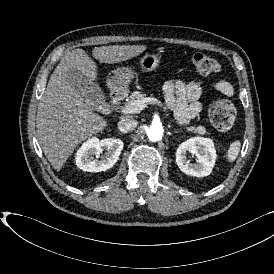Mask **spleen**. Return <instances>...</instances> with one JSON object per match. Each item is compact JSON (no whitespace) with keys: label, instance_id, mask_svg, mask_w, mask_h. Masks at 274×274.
<instances>
[{"label":"spleen","instance_id":"1","mask_svg":"<svg viewBox=\"0 0 274 274\" xmlns=\"http://www.w3.org/2000/svg\"><path fill=\"white\" fill-rule=\"evenodd\" d=\"M240 149H241V140L240 139H236V140L230 142L228 149L226 151V160L229 163L235 162L239 155Z\"/></svg>","mask_w":274,"mask_h":274}]
</instances>
